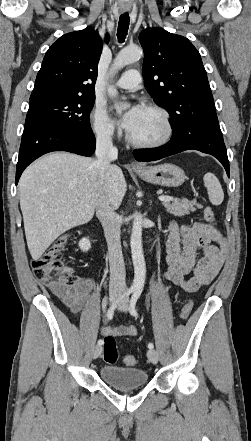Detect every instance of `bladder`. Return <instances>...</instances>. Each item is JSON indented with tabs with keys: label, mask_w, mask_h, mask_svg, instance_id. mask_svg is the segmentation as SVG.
<instances>
[{
	"label": "bladder",
	"mask_w": 251,
	"mask_h": 441,
	"mask_svg": "<svg viewBox=\"0 0 251 441\" xmlns=\"http://www.w3.org/2000/svg\"><path fill=\"white\" fill-rule=\"evenodd\" d=\"M103 382L116 389L138 388L146 385L148 373L140 368H126L115 365H104L99 372Z\"/></svg>",
	"instance_id": "1"
}]
</instances>
